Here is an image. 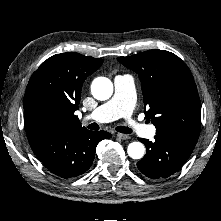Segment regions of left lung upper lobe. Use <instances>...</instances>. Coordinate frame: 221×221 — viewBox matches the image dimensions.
<instances>
[{
	"label": "left lung upper lobe",
	"instance_id": "left-lung-upper-lobe-1",
	"mask_svg": "<svg viewBox=\"0 0 221 221\" xmlns=\"http://www.w3.org/2000/svg\"><path fill=\"white\" fill-rule=\"evenodd\" d=\"M117 59L139 75L147 108L145 115L155 125L156 133H176L197 140L201 104L186 64L164 50H149Z\"/></svg>",
	"mask_w": 221,
	"mask_h": 221
}]
</instances>
